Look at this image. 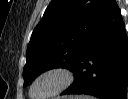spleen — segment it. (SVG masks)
Here are the masks:
<instances>
[{"label": "spleen", "mask_w": 128, "mask_h": 99, "mask_svg": "<svg viewBox=\"0 0 128 99\" xmlns=\"http://www.w3.org/2000/svg\"><path fill=\"white\" fill-rule=\"evenodd\" d=\"M83 99H89V97H83Z\"/></svg>", "instance_id": "3e777b00"}]
</instances>
